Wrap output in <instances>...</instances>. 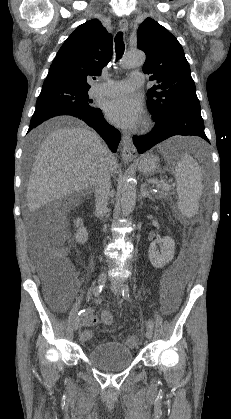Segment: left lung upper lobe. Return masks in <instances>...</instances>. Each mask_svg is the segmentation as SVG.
<instances>
[{
  "label": "left lung upper lobe",
  "instance_id": "1",
  "mask_svg": "<svg viewBox=\"0 0 231 419\" xmlns=\"http://www.w3.org/2000/svg\"><path fill=\"white\" fill-rule=\"evenodd\" d=\"M137 47L146 54L143 71L155 80L147 93L148 108L155 116L184 109H200L196 88L182 46L163 26L146 18L138 28Z\"/></svg>",
  "mask_w": 231,
  "mask_h": 419
}]
</instances>
